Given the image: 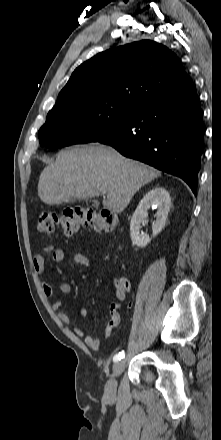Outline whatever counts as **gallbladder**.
Returning a JSON list of instances; mask_svg holds the SVG:
<instances>
[{
  "instance_id": "1",
  "label": "gallbladder",
  "mask_w": 221,
  "mask_h": 440,
  "mask_svg": "<svg viewBox=\"0 0 221 440\" xmlns=\"http://www.w3.org/2000/svg\"><path fill=\"white\" fill-rule=\"evenodd\" d=\"M94 205H95V206H98V202H97V201H94Z\"/></svg>"
}]
</instances>
